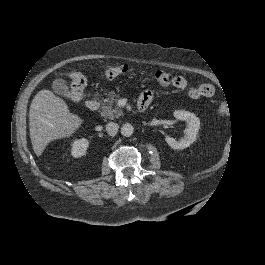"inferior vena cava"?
<instances>
[{"label":"inferior vena cava","mask_w":265,"mask_h":265,"mask_svg":"<svg viewBox=\"0 0 265 265\" xmlns=\"http://www.w3.org/2000/svg\"><path fill=\"white\" fill-rule=\"evenodd\" d=\"M118 130H119V125L117 123L109 122L106 124V131L111 136H114L115 134H117Z\"/></svg>","instance_id":"602c4592"}]
</instances>
